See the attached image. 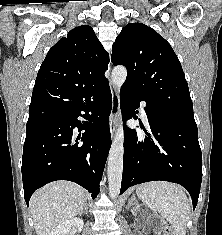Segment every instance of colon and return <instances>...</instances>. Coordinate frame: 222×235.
<instances>
[{"label": "colon", "mask_w": 222, "mask_h": 235, "mask_svg": "<svg viewBox=\"0 0 222 235\" xmlns=\"http://www.w3.org/2000/svg\"><path fill=\"white\" fill-rule=\"evenodd\" d=\"M164 235H175L173 230L171 228L167 229L164 233Z\"/></svg>", "instance_id": "1"}]
</instances>
